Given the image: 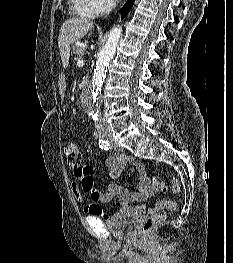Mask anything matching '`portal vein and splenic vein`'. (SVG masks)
<instances>
[{"label": "portal vein and splenic vein", "instance_id": "obj_1", "mask_svg": "<svg viewBox=\"0 0 233 263\" xmlns=\"http://www.w3.org/2000/svg\"><path fill=\"white\" fill-rule=\"evenodd\" d=\"M78 64L82 66V65H83V60H82V59L79 60V61H78Z\"/></svg>", "mask_w": 233, "mask_h": 263}]
</instances>
